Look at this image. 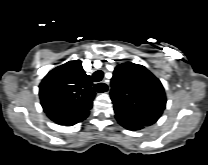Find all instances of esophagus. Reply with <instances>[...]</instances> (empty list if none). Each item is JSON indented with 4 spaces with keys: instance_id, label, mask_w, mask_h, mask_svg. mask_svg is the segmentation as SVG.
<instances>
[{
    "instance_id": "esophagus-1",
    "label": "esophagus",
    "mask_w": 208,
    "mask_h": 165,
    "mask_svg": "<svg viewBox=\"0 0 208 165\" xmlns=\"http://www.w3.org/2000/svg\"><path fill=\"white\" fill-rule=\"evenodd\" d=\"M100 83H101L102 86L106 87L105 93H108L109 90H110L109 84H108L107 82H100ZM100 83H99V84H100ZM94 87H95V86H94Z\"/></svg>"
}]
</instances>
